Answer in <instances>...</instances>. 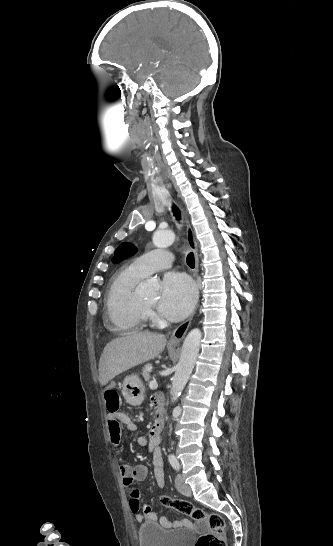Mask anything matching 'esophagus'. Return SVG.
Masks as SVG:
<instances>
[{
	"label": "esophagus",
	"mask_w": 333,
	"mask_h": 546,
	"mask_svg": "<svg viewBox=\"0 0 333 546\" xmlns=\"http://www.w3.org/2000/svg\"><path fill=\"white\" fill-rule=\"evenodd\" d=\"M186 226H187V230H186V235H187V242H188V245L190 247V249L193 251L194 253V259H195V268H194V274L195 276H197L198 272H199V256H198V248H197V243H196V239H195V236H194V232H193V229L192 227L190 226L188 220H186ZM193 319V315H191L185 322H183L180 326H178L172 333L171 337H170V343L172 344H179L190 324H191V321Z\"/></svg>",
	"instance_id": "34e87169"
}]
</instances>
